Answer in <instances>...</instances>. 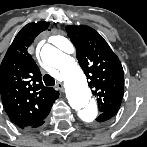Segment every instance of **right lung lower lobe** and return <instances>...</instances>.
<instances>
[{"label":"right lung lower lobe","mask_w":147,"mask_h":147,"mask_svg":"<svg viewBox=\"0 0 147 147\" xmlns=\"http://www.w3.org/2000/svg\"><path fill=\"white\" fill-rule=\"evenodd\" d=\"M43 123H44V120L41 121V122H39V123H37V124H35V125H33V126H31V128L39 127V126H41Z\"/></svg>","instance_id":"98d812e1"}]
</instances>
